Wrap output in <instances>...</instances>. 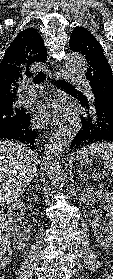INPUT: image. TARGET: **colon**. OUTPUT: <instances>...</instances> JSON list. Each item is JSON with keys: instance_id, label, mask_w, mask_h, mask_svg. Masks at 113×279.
Returning <instances> with one entry per match:
<instances>
[{"instance_id": "colon-1", "label": "colon", "mask_w": 113, "mask_h": 279, "mask_svg": "<svg viewBox=\"0 0 113 279\" xmlns=\"http://www.w3.org/2000/svg\"><path fill=\"white\" fill-rule=\"evenodd\" d=\"M11 250L10 238L6 224L0 214V259L7 257Z\"/></svg>"}]
</instances>
